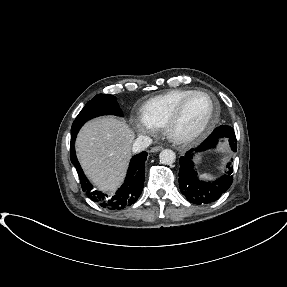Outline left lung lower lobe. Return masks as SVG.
I'll use <instances>...</instances> for the list:
<instances>
[{
	"label": "left lung lower lobe",
	"mask_w": 287,
	"mask_h": 287,
	"mask_svg": "<svg viewBox=\"0 0 287 287\" xmlns=\"http://www.w3.org/2000/svg\"><path fill=\"white\" fill-rule=\"evenodd\" d=\"M221 138H228L230 146L236 152L237 141L232 127L221 125L195 149L187 151L184 156L179 159V186L181 193L186 198L195 204H207L218 200L221 195L228 190L233 181V168L231 162L227 164L226 174L222 175L215 181H204L198 177L194 165V157L197 154L204 153L207 150L214 148Z\"/></svg>",
	"instance_id": "1"
}]
</instances>
